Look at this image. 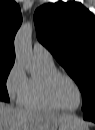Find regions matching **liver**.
<instances>
[{
    "label": "liver",
    "instance_id": "liver-1",
    "mask_svg": "<svg viewBox=\"0 0 95 130\" xmlns=\"http://www.w3.org/2000/svg\"><path fill=\"white\" fill-rule=\"evenodd\" d=\"M73 119L69 114L0 105V130H57L60 124ZM84 128L88 129L86 125Z\"/></svg>",
    "mask_w": 95,
    "mask_h": 130
}]
</instances>
